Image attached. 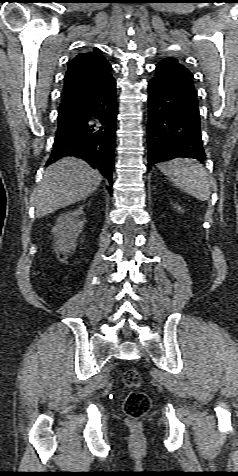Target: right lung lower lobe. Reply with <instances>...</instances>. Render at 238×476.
I'll use <instances>...</instances> for the list:
<instances>
[{
  "label": "right lung lower lobe",
  "instance_id": "right-lung-lower-lobe-1",
  "mask_svg": "<svg viewBox=\"0 0 238 476\" xmlns=\"http://www.w3.org/2000/svg\"><path fill=\"white\" fill-rule=\"evenodd\" d=\"M116 81L112 78L84 102L58 111V128L51 158L67 155L85 160L100 170L112 185L116 145Z\"/></svg>",
  "mask_w": 238,
  "mask_h": 476
}]
</instances>
